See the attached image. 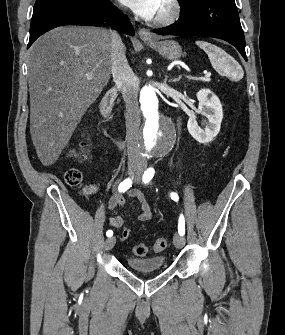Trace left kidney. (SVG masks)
I'll list each match as a JSON object with an SVG mask.
<instances>
[{
	"label": "left kidney",
	"instance_id": "5707ae66",
	"mask_svg": "<svg viewBox=\"0 0 285 335\" xmlns=\"http://www.w3.org/2000/svg\"><path fill=\"white\" fill-rule=\"evenodd\" d=\"M199 102L198 110L195 114H201L207 118V126L204 130L197 124V116H190L187 124L188 132L197 140L199 144H209L213 138L220 132L221 122L223 120V110L221 102L211 90H199L196 94Z\"/></svg>",
	"mask_w": 285,
	"mask_h": 335
}]
</instances>
